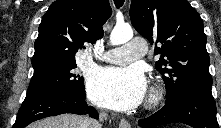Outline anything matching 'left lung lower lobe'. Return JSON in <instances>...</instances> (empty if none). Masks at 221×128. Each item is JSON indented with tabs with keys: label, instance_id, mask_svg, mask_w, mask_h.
Instances as JSON below:
<instances>
[{
	"label": "left lung lower lobe",
	"instance_id": "left-lung-lower-lobe-1",
	"mask_svg": "<svg viewBox=\"0 0 221 128\" xmlns=\"http://www.w3.org/2000/svg\"><path fill=\"white\" fill-rule=\"evenodd\" d=\"M181 122L194 128H219L216 104L211 92L191 91L148 118L138 121L140 127L152 128Z\"/></svg>",
	"mask_w": 221,
	"mask_h": 128
}]
</instances>
